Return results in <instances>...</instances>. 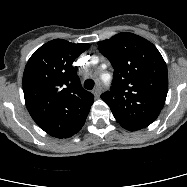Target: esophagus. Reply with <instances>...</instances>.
Wrapping results in <instances>:
<instances>
[{
	"label": "esophagus",
	"mask_w": 187,
	"mask_h": 187,
	"mask_svg": "<svg viewBox=\"0 0 187 187\" xmlns=\"http://www.w3.org/2000/svg\"><path fill=\"white\" fill-rule=\"evenodd\" d=\"M102 93V86L100 84H98L94 90H93V94L96 98H98Z\"/></svg>",
	"instance_id": "obj_1"
}]
</instances>
